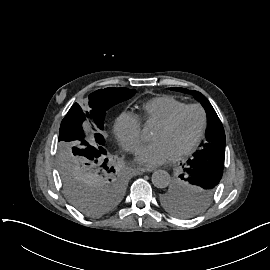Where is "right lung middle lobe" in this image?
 Instances as JSON below:
<instances>
[{"label":"right lung middle lobe","mask_w":270,"mask_h":270,"mask_svg":"<svg viewBox=\"0 0 270 270\" xmlns=\"http://www.w3.org/2000/svg\"><path fill=\"white\" fill-rule=\"evenodd\" d=\"M135 92L127 88L99 89L82 106L73 104L61 122L57 169L67 200L87 216L102 215L122 199L126 176L117 160L108 162L111 155L100 133L94 134L93 143L85 139L82 123H90L94 131L102 130L106 110Z\"/></svg>","instance_id":"dd1d6c3e"}]
</instances>
